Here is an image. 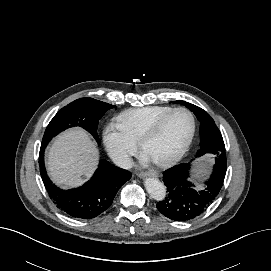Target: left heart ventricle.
Listing matches in <instances>:
<instances>
[{
  "mask_svg": "<svg viewBox=\"0 0 271 271\" xmlns=\"http://www.w3.org/2000/svg\"><path fill=\"white\" fill-rule=\"evenodd\" d=\"M192 129L188 113L179 111L171 115L160 131L145 146L152 160H162L174 155L186 143Z\"/></svg>",
  "mask_w": 271,
  "mask_h": 271,
  "instance_id": "b2bd125f",
  "label": "left heart ventricle"
}]
</instances>
